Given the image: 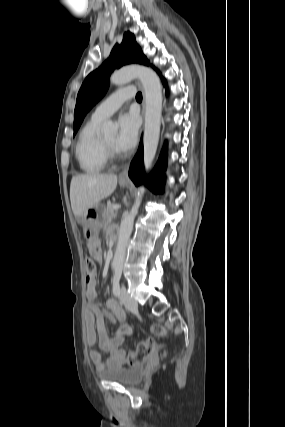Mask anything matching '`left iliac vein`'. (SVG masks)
<instances>
[{"mask_svg":"<svg viewBox=\"0 0 285 427\" xmlns=\"http://www.w3.org/2000/svg\"><path fill=\"white\" fill-rule=\"evenodd\" d=\"M120 300L128 310L133 311L137 309V301L128 294L125 286L121 287Z\"/></svg>","mask_w":285,"mask_h":427,"instance_id":"obj_1","label":"left iliac vein"}]
</instances>
